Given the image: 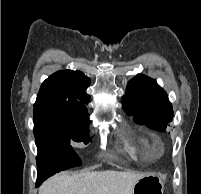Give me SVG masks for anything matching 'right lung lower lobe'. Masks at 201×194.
<instances>
[{"label":"right lung lower lobe","instance_id":"98d812e1","mask_svg":"<svg viewBox=\"0 0 201 194\" xmlns=\"http://www.w3.org/2000/svg\"><path fill=\"white\" fill-rule=\"evenodd\" d=\"M37 148L38 177L36 187L48 177L55 174L56 170L64 165L67 158L75 154L74 151L66 150L52 144H41Z\"/></svg>","mask_w":201,"mask_h":194}]
</instances>
